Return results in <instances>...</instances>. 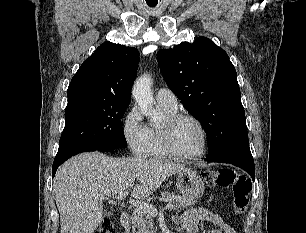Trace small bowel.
I'll return each mask as SVG.
<instances>
[{
	"label": "small bowel",
	"instance_id": "small-bowel-1",
	"mask_svg": "<svg viewBox=\"0 0 306 233\" xmlns=\"http://www.w3.org/2000/svg\"><path fill=\"white\" fill-rule=\"evenodd\" d=\"M186 233H197L200 222H208L212 229L208 233H236L231 225L226 223L219 215L209 212L204 208H193L185 211L177 218Z\"/></svg>",
	"mask_w": 306,
	"mask_h": 233
}]
</instances>
